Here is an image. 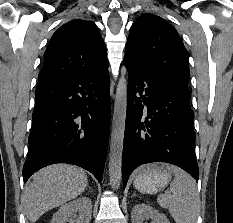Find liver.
<instances>
[{"mask_svg":"<svg viewBox=\"0 0 233 223\" xmlns=\"http://www.w3.org/2000/svg\"><path fill=\"white\" fill-rule=\"evenodd\" d=\"M87 183L84 169L76 165L55 163L39 169L22 197L27 219L34 223L48 209L78 197Z\"/></svg>","mask_w":233,"mask_h":223,"instance_id":"obj_1","label":"liver"}]
</instances>
